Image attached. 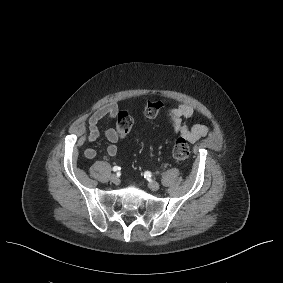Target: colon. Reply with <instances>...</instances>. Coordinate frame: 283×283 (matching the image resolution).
<instances>
[{"mask_svg": "<svg viewBox=\"0 0 283 283\" xmlns=\"http://www.w3.org/2000/svg\"><path fill=\"white\" fill-rule=\"evenodd\" d=\"M163 103L160 100L149 101L145 107L144 114L148 119L155 118L161 111ZM134 124L130 111L124 110L118 113L116 131L120 137H125L130 133ZM173 158L178 163L185 162L190 155V148L186 140L178 139L172 150Z\"/></svg>", "mask_w": 283, "mask_h": 283, "instance_id": "1", "label": "colon"}]
</instances>
